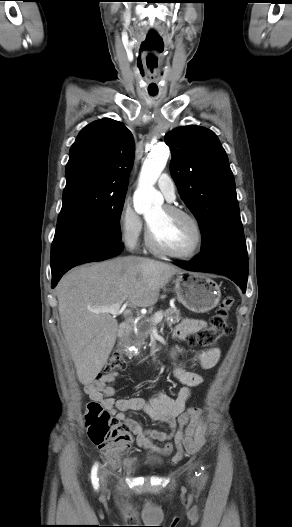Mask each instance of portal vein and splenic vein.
<instances>
[{
	"mask_svg": "<svg viewBox=\"0 0 292 527\" xmlns=\"http://www.w3.org/2000/svg\"><path fill=\"white\" fill-rule=\"evenodd\" d=\"M125 301V299H122L120 302L118 303H115L109 307H105V308H102V309H97V310H94V312L96 313H109L111 315H119L121 313H123L124 315H128L131 313L130 310H125L124 308H122V303ZM163 319V314L162 313H157L155 318H154V323H158L160 322L161 320Z\"/></svg>",
	"mask_w": 292,
	"mask_h": 527,
	"instance_id": "portal-vein-and-splenic-vein-1",
	"label": "portal vein and splenic vein"
}]
</instances>
